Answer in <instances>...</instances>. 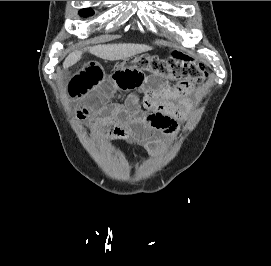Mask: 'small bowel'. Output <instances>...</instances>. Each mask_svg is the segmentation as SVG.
<instances>
[{
	"mask_svg": "<svg viewBox=\"0 0 271 266\" xmlns=\"http://www.w3.org/2000/svg\"><path fill=\"white\" fill-rule=\"evenodd\" d=\"M125 92L130 93L120 103L118 98ZM67 96L75 103L76 119L88 121L95 134L143 144H152L156 132L175 131L194 107L190 90L171 86L160 76L136 67L107 75L97 62L71 75Z\"/></svg>",
	"mask_w": 271,
	"mask_h": 266,
	"instance_id": "obj_1",
	"label": "small bowel"
}]
</instances>
